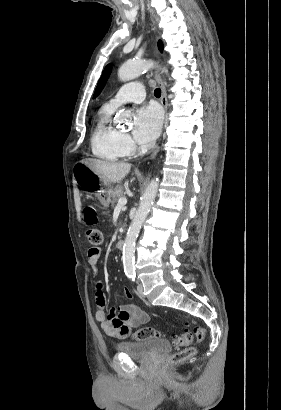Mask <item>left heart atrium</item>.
I'll use <instances>...</instances> for the list:
<instances>
[{"instance_id": "39dd6f15", "label": "left heart atrium", "mask_w": 281, "mask_h": 410, "mask_svg": "<svg viewBox=\"0 0 281 410\" xmlns=\"http://www.w3.org/2000/svg\"><path fill=\"white\" fill-rule=\"evenodd\" d=\"M162 124L161 111L153 105L139 108L134 116L133 137L141 144L154 141Z\"/></svg>"}]
</instances>
